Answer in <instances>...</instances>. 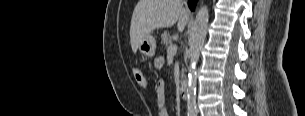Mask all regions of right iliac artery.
Returning <instances> with one entry per match:
<instances>
[{
  "label": "right iliac artery",
  "mask_w": 305,
  "mask_h": 116,
  "mask_svg": "<svg viewBox=\"0 0 305 116\" xmlns=\"http://www.w3.org/2000/svg\"><path fill=\"white\" fill-rule=\"evenodd\" d=\"M188 116H196V114H195V113H192V114H188Z\"/></svg>",
  "instance_id": "obj_1"
}]
</instances>
